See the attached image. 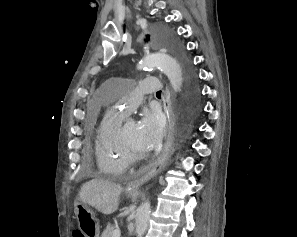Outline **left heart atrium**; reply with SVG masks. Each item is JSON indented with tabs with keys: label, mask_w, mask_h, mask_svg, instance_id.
<instances>
[{
	"label": "left heart atrium",
	"mask_w": 297,
	"mask_h": 237,
	"mask_svg": "<svg viewBox=\"0 0 297 237\" xmlns=\"http://www.w3.org/2000/svg\"><path fill=\"white\" fill-rule=\"evenodd\" d=\"M138 138L145 150L158 147L164 135V121L157 110H144L137 123Z\"/></svg>",
	"instance_id": "1"
}]
</instances>
